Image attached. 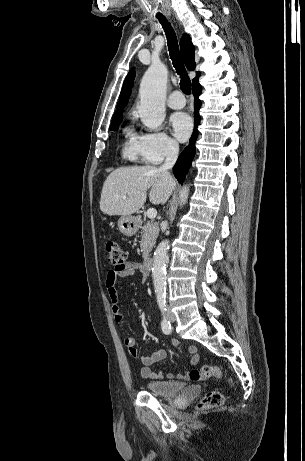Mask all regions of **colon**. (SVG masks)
<instances>
[{
    "label": "colon",
    "mask_w": 305,
    "mask_h": 461,
    "mask_svg": "<svg viewBox=\"0 0 305 461\" xmlns=\"http://www.w3.org/2000/svg\"><path fill=\"white\" fill-rule=\"evenodd\" d=\"M106 255L108 262L115 270H122L127 263V253L117 242L109 241L106 243ZM221 377V371L215 366L205 365L198 369H193L189 372L191 381H201L208 378ZM224 403V395L220 391H209L201 399L198 404V409L206 410L218 408Z\"/></svg>",
    "instance_id": "obj_1"
}]
</instances>
